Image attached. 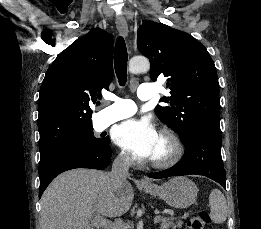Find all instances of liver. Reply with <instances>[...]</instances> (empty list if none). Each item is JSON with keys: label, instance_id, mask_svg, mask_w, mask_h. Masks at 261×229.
<instances>
[{"label": "liver", "instance_id": "6515ba94", "mask_svg": "<svg viewBox=\"0 0 261 229\" xmlns=\"http://www.w3.org/2000/svg\"><path fill=\"white\" fill-rule=\"evenodd\" d=\"M133 199V189L128 181L115 189L108 173L95 169H72L56 177L44 191L40 201V227H98L97 221L101 217L125 215Z\"/></svg>", "mask_w": 261, "mask_h": 229}]
</instances>
